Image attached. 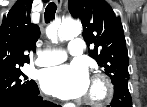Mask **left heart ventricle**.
<instances>
[{"label": "left heart ventricle", "mask_w": 147, "mask_h": 107, "mask_svg": "<svg viewBox=\"0 0 147 107\" xmlns=\"http://www.w3.org/2000/svg\"><path fill=\"white\" fill-rule=\"evenodd\" d=\"M96 90L92 86L89 88V93H94Z\"/></svg>", "instance_id": "1"}]
</instances>
